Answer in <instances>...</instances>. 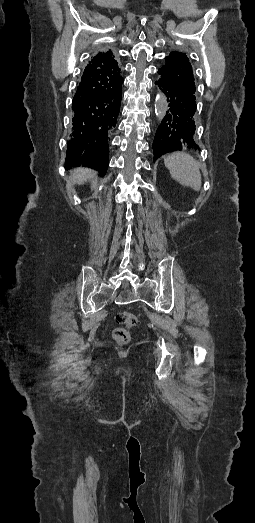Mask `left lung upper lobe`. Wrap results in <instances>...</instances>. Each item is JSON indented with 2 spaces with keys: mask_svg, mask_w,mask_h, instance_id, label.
Masks as SVG:
<instances>
[{
  "mask_svg": "<svg viewBox=\"0 0 255 523\" xmlns=\"http://www.w3.org/2000/svg\"><path fill=\"white\" fill-rule=\"evenodd\" d=\"M165 60V65L158 70L159 74L161 76L168 77L171 85L179 86L181 89H188V93H191L193 103H195L194 93L196 88L193 71L186 54L173 51L169 54V56L165 57ZM165 96L167 97L166 94ZM163 120H165V117ZM155 137H158V135L155 134ZM194 145H196V148L194 149H199V146L196 144V142Z\"/></svg>",
  "mask_w": 255,
  "mask_h": 523,
  "instance_id": "1",
  "label": "left lung upper lobe"
}]
</instances>
